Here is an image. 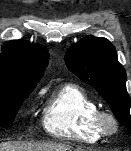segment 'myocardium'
<instances>
[{
    "label": "myocardium",
    "mask_w": 131,
    "mask_h": 151,
    "mask_svg": "<svg viewBox=\"0 0 131 151\" xmlns=\"http://www.w3.org/2000/svg\"><path fill=\"white\" fill-rule=\"evenodd\" d=\"M95 124L105 136H111L118 132L119 122L117 117L110 111L98 110L95 115Z\"/></svg>",
    "instance_id": "1"
}]
</instances>
